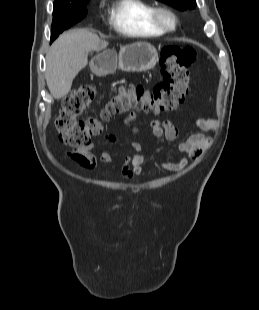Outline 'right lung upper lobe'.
<instances>
[{"label": "right lung upper lobe", "instance_id": "obj_1", "mask_svg": "<svg viewBox=\"0 0 259 310\" xmlns=\"http://www.w3.org/2000/svg\"><path fill=\"white\" fill-rule=\"evenodd\" d=\"M83 1H86V0H55L53 9L79 5Z\"/></svg>", "mask_w": 259, "mask_h": 310}]
</instances>
